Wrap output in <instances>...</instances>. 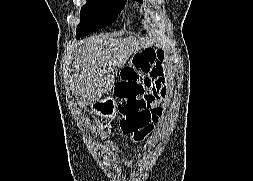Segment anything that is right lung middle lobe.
Masks as SVG:
<instances>
[{"label": "right lung middle lobe", "instance_id": "1", "mask_svg": "<svg viewBox=\"0 0 253 181\" xmlns=\"http://www.w3.org/2000/svg\"><path fill=\"white\" fill-rule=\"evenodd\" d=\"M125 0H87L81 8V22L76 37H82L110 25L124 8Z\"/></svg>", "mask_w": 253, "mask_h": 181}]
</instances>
